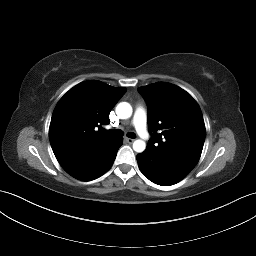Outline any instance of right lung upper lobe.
I'll return each instance as SVG.
<instances>
[{
    "label": "right lung upper lobe",
    "mask_w": 256,
    "mask_h": 256,
    "mask_svg": "<svg viewBox=\"0 0 256 256\" xmlns=\"http://www.w3.org/2000/svg\"><path fill=\"white\" fill-rule=\"evenodd\" d=\"M125 92L123 87L90 80L74 86L60 99L49 128L50 143L60 165L118 139L102 132L101 125L109 123L111 109Z\"/></svg>",
    "instance_id": "obj_1"
}]
</instances>
